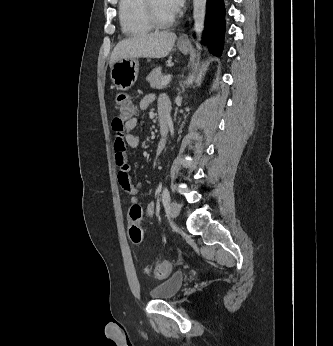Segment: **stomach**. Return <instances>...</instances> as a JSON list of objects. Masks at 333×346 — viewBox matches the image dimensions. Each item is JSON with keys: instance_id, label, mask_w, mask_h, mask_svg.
<instances>
[{"instance_id": "1", "label": "stomach", "mask_w": 333, "mask_h": 346, "mask_svg": "<svg viewBox=\"0 0 333 346\" xmlns=\"http://www.w3.org/2000/svg\"><path fill=\"white\" fill-rule=\"evenodd\" d=\"M178 49L182 53L188 52V45L177 43ZM139 72V62L135 58L120 59L111 66L110 77L114 86L126 91L130 89L137 80Z\"/></svg>"}]
</instances>
